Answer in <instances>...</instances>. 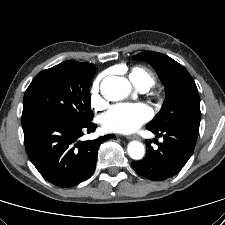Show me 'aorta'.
Masks as SVG:
<instances>
[{"label":"aorta","instance_id":"aorta-1","mask_svg":"<svg viewBox=\"0 0 225 225\" xmlns=\"http://www.w3.org/2000/svg\"><path fill=\"white\" fill-rule=\"evenodd\" d=\"M100 90L105 99L119 101L130 93L131 84L124 77L108 76L102 80ZM127 151L133 160H141L145 155V147L139 141H131L127 146Z\"/></svg>","mask_w":225,"mask_h":225}]
</instances>
